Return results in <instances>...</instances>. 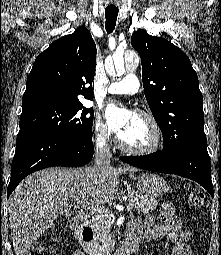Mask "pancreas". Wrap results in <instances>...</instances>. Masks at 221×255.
<instances>
[{"label": "pancreas", "instance_id": "pancreas-1", "mask_svg": "<svg viewBox=\"0 0 221 255\" xmlns=\"http://www.w3.org/2000/svg\"><path fill=\"white\" fill-rule=\"evenodd\" d=\"M127 196L129 203L133 204V208L144 214L154 210L158 204L155 199H149L135 190H129ZM90 224L96 233V241L87 246L86 250L94 252L103 245L108 244L107 236L110 231V213L105 212V214L93 218Z\"/></svg>", "mask_w": 221, "mask_h": 255}]
</instances>
